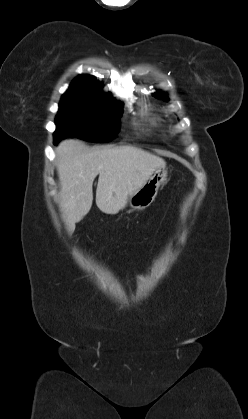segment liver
I'll return each mask as SVG.
<instances>
[{"instance_id": "liver-1", "label": "liver", "mask_w": 248, "mask_h": 419, "mask_svg": "<svg viewBox=\"0 0 248 419\" xmlns=\"http://www.w3.org/2000/svg\"><path fill=\"white\" fill-rule=\"evenodd\" d=\"M55 152L60 210L69 234L91 209L92 185L97 175V207L106 214H117L155 170L166 166L163 158L132 146L87 151L81 141L67 139Z\"/></svg>"}]
</instances>
